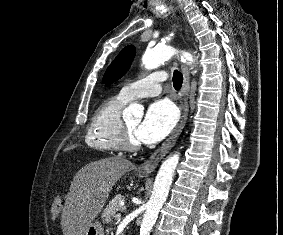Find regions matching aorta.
<instances>
[{"mask_svg": "<svg viewBox=\"0 0 283 235\" xmlns=\"http://www.w3.org/2000/svg\"><path fill=\"white\" fill-rule=\"evenodd\" d=\"M176 53L178 52L173 47L156 46L144 53L142 56V64L146 69H155ZM181 60L188 64L194 62L193 56L188 52L181 53ZM142 115L143 109L136 103L128 106L123 113L124 118H131L133 116L141 118ZM178 162L179 153H175L162 163L155 178L152 195L146 205V211L140 227V235H150L152 227L158 218L160 208L168 196Z\"/></svg>", "mask_w": 283, "mask_h": 235, "instance_id": "762f6f07", "label": "aorta"}]
</instances>
